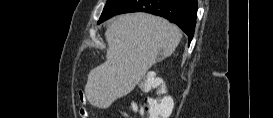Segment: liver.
I'll return each instance as SVG.
<instances>
[{"label":"liver","instance_id":"liver-1","mask_svg":"<svg viewBox=\"0 0 273 118\" xmlns=\"http://www.w3.org/2000/svg\"><path fill=\"white\" fill-rule=\"evenodd\" d=\"M105 37L106 61L90 72L85 87L90 104L102 109L129 94L157 60L169 57L182 34L164 18L137 12L112 19Z\"/></svg>","mask_w":273,"mask_h":118}]
</instances>
